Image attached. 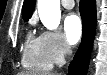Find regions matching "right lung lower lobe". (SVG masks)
Segmentation results:
<instances>
[{"label": "right lung lower lobe", "instance_id": "right-lung-lower-lobe-1", "mask_svg": "<svg viewBox=\"0 0 107 75\" xmlns=\"http://www.w3.org/2000/svg\"><path fill=\"white\" fill-rule=\"evenodd\" d=\"M80 14L83 24L82 41L78 51L69 65V75L87 74L96 29V1L80 0Z\"/></svg>", "mask_w": 107, "mask_h": 75}]
</instances>
